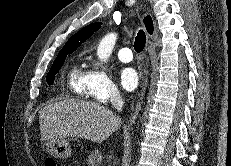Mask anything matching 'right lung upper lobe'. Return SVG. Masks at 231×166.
<instances>
[{"label":"right lung upper lobe","instance_id":"obj_1","mask_svg":"<svg viewBox=\"0 0 231 166\" xmlns=\"http://www.w3.org/2000/svg\"><path fill=\"white\" fill-rule=\"evenodd\" d=\"M144 24L146 26L147 31L152 34L153 33V23L150 16L144 18ZM101 27L100 22L91 23L86 27L82 28L76 34H74L64 45L62 50L58 53L61 54H71L74 52L83 42L89 39L94 32H96Z\"/></svg>","mask_w":231,"mask_h":166}]
</instances>
